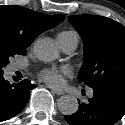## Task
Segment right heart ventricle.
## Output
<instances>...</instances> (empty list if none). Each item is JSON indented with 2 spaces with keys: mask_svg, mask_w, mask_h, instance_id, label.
I'll return each mask as SVG.
<instances>
[{
  "mask_svg": "<svg viewBox=\"0 0 125 125\" xmlns=\"http://www.w3.org/2000/svg\"><path fill=\"white\" fill-rule=\"evenodd\" d=\"M70 34H76V33L73 31H62L58 35L68 36Z\"/></svg>",
  "mask_w": 125,
  "mask_h": 125,
  "instance_id": "e07e8e85",
  "label": "right heart ventricle"
}]
</instances>
